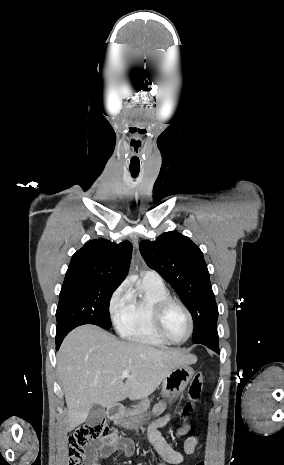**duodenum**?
<instances>
[{"label": "duodenum", "instance_id": "obj_1", "mask_svg": "<svg viewBox=\"0 0 284 465\" xmlns=\"http://www.w3.org/2000/svg\"><path fill=\"white\" fill-rule=\"evenodd\" d=\"M122 413V408L119 405H114L108 409V416L114 420L118 419V417Z\"/></svg>", "mask_w": 284, "mask_h": 465}]
</instances>
